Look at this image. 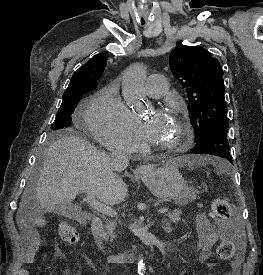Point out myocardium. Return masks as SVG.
I'll return each mask as SVG.
<instances>
[{"instance_id": "myocardium-1", "label": "myocardium", "mask_w": 263, "mask_h": 275, "mask_svg": "<svg viewBox=\"0 0 263 275\" xmlns=\"http://www.w3.org/2000/svg\"><path fill=\"white\" fill-rule=\"evenodd\" d=\"M177 128L178 137L176 141L170 145L157 146V148L166 153H173L188 147L191 140V129L189 123L183 118L173 115Z\"/></svg>"}]
</instances>
